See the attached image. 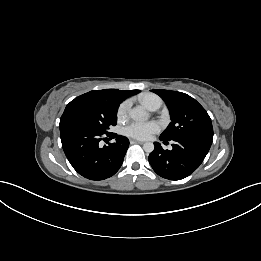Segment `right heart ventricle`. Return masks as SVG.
Listing matches in <instances>:
<instances>
[{"label": "right heart ventricle", "mask_w": 261, "mask_h": 261, "mask_svg": "<svg viewBox=\"0 0 261 261\" xmlns=\"http://www.w3.org/2000/svg\"><path fill=\"white\" fill-rule=\"evenodd\" d=\"M156 98H158V97L153 94H146L141 97L140 101L146 108H149L152 101Z\"/></svg>", "instance_id": "e07e8e85"}]
</instances>
